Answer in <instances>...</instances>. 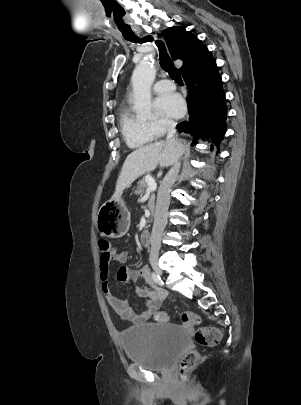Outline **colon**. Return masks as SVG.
Segmentation results:
<instances>
[{
  "label": "colon",
  "mask_w": 301,
  "mask_h": 405,
  "mask_svg": "<svg viewBox=\"0 0 301 405\" xmlns=\"http://www.w3.org/2000/svg\"><path fill=\"white\" fill-rule=\"evenodd\" d=\"M98 245L102 255L108 256L111 250L110 243L105 239H101L99 240ZM177 316L184 324L188 326L199 325L201 321L200 317L192 312H180L177 314ZM154 318L158 322H167L169 320V315L165 311H158L155 313ZM220 339V331L213 327L201 326L195 333L196 342L202 346H215L219 343ZM198 358L199 354L195 350L187 352L182 357L179 364V372L182 380H187L189 373L197 364Z\"/></svg>",
  "instance_id": "5ec220e1"
}]
</instances>
